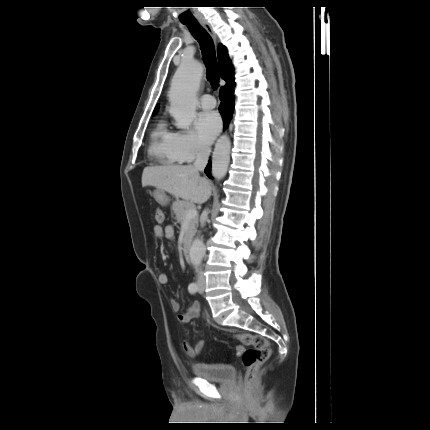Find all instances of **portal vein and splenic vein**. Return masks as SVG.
Here are the masks:
<instances>
[{
    "mask_svg": "<svg viewBox=\"0 0 430 430\" xmlns=\"http://www.w3.org/2000/svg\"><path fill=\"white\" fill-rule=\"evenodd\" d=\"M197 210H196V208H190L188 211H187V214H186V220H189V219H191V218H193V217H195L196 215H197Z\"/></svg>",
    "mask_w": 430,
    "mask_h": 430,
    "instance_id": "portal-vein-and-splenic-vein-1",
    "label": "portal vein and splenic vein"
}]
</instances>
